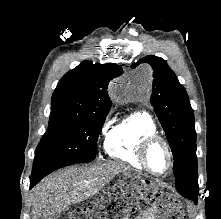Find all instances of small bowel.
Listing matches in <instances>:
<instances>
[{
	"mask_svg": "<svg viewBox=\"0 0 221 219\" xmlns=\"http://www.w3.org/2000/svg\"><path fill=\"white\" fill-rule=\"evenodd\" d=\"M135 219H156L155 210L153 208L145 209Z\"/></svg>",
	"mask_w": 221,
	"mask_h": 219,
	"instance_id": "c3829d8e",
	"label": "small bowel"
}]
</instances>
